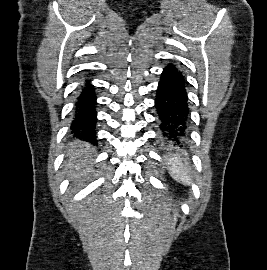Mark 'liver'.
I'll list each match as a JSON object with an SVG mask.
<instances>
[{
  "instance_id": "6515ba94",
  "label": "liver",
  "mask_w": 267,
  "mask_h": 270,
  "mask_svg": "<svg viewBox=\"0 0 267 270\" xmlns=\"http://www.w3.org/2000/svg\"><path fill=\"white\" fill-rule=\"evenodd\" d=\"M93 149L85 142L74 141L69 144L66 152L67 161L64 171L71 181L77 183L90 172L89 158Z\"/></svg>"
}]
</instances>
